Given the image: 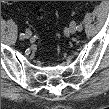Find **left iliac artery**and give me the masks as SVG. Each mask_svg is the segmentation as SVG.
<instances>
[{
	"label": "left iliac artery",
	"instance_id": "obj_1",
	"mask_svg": "<svg viewBox=\"0 0 109 109\" xmlns=\"http://www.w3.org/2000/svg\"><path fill=\"white\" fill-rule=\"evenodd\" d=\"M83 29V26L81 25V24H79L78 26H77V30L78 31H81Z\"/></svg>",
	"mask_w": 109,
	"mask_h": 109
}]
</instances>
